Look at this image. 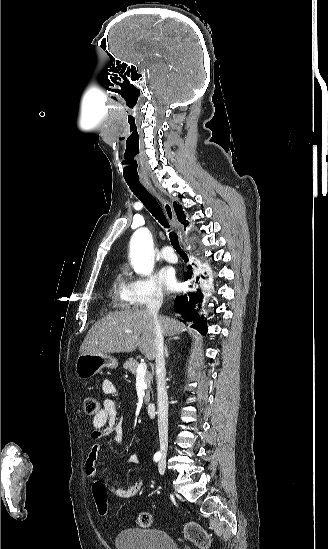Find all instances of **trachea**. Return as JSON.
<instances>
[{"label":"trachea","mask_w":328,"mask_h":549,"mask_svg":"<svg viewBox=\"0 0 328 549\" xmlns=\"http://www.w3.org/2000/svg\"><path fill=\"white\" fill-rule=\"evenodd\" d=\"M127 185H129V188L143 203L144 207H146V209L153 215V217H155V219L168 230L171 245L174 247L176 252L181 256L186 255L184 250L180 247L177 235L170 229V225L168 224L163 210L157 200L154 199L153 195L145 189V187L140 183V180L127 181Z\"/></svg>","instance_id":"3493384b"}]
</instances>
